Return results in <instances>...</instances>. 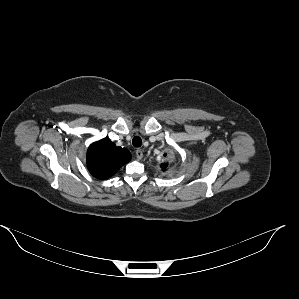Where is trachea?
I'll return each mask as SVG.
<instances>
[{"mask_svg":"<svg viewBox=\"0 0 299 299\" xmlns=\"http://www.w3.org/2000/svg\"><path fill=\"white\" fill-rule=\"evenodd\" d=\"M134 147H140L142 145V139L139 136H135L132 140Z\"/></svg>","mask_w":299,"mask_h":299,"instance_id":"obj_1","label":"trachea"}]
</instances>
